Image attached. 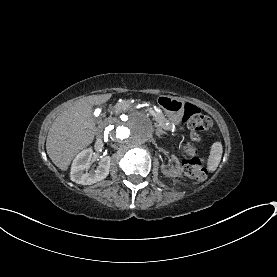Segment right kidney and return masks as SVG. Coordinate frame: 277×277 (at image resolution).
<instances>
[{
	"instance_id": "1",
	"label": "right kidney",
	"mask_w": 277,
	"mask_h": 277,
	"mask_svg": "<svg viewBox=\"0 0 277 277\" xmlns=\"http://www.w3.org/2000/svg\"><path fill=\"white\" fill-rule=\"evenodd\" d=\"M93 150L87 148L82 150L74 158L71 165L70 179L82 185H91L105 179L109 174L110 161L109 156H104L95 170H90V162L92 159Z\"/></svg>"
}]
</instances>
